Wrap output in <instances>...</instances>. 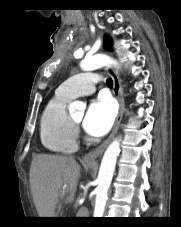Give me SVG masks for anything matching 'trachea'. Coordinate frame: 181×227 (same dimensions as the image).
Masks as SVG:
<instances>
[{"label": "trachea", "instance_id": "1", "mask_svg": "<svg viewBox=\"0 0 181 227\" xmlns=\"http://www.w3.org/2000/svg\"><path fill=\"white\" fill-rule=\"evenodd\" d=\"M106 83H107V86H108V87H112V86H113V81H112L111 78H108V79L106 80Z\"/></svg>", "mask_w": 181, "mask_h": 227}]
</instances>
